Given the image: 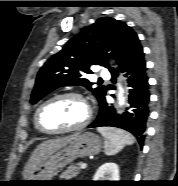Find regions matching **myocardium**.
Returning <instances> with one entry per match:
<instances>
[{"label": "myocardium", "mask_w": 178, "mask_h": 186, "mask_svg": "<svg viewBox=\"0 0 178 186\" xmlns=\"http://www.w3.org/2000/svg\"><path fill=\"white\" fill-rule=\"evenodd\" d=\"M65 97L77 98L84 104V106L86 108V115H85L84 119L79 124H77L76 126H73V127L60 129V130L46 129L42 123V113H43L45 107L47 105H49L50 103H52L53 101L61 99V98H65ZM92 114H93L92 108H91L90 104L88 103L87 99L82 94H80L78 92L69 91V92H63L60 94H56V95L52 96L51 98L47 99L46 101H44L37 109L35 122H36L37 129H39L42 133H45L48 135L64 134V133L76 132V131H79V130H82L83 128H85L90 123V121L92 119Z\"/></svg>", "instance_id": "myocardium-1"}]
</instances>
